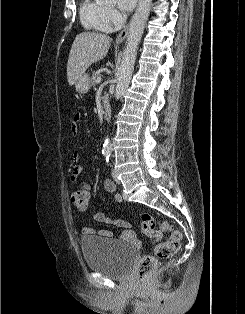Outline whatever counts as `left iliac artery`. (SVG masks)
Wrapping results in <instances>:
<instances>
[{"mask_svg": "<svg viewBox=\"0 0 245 314\" xmlns=\"http://www.w3.org/2000/svg\"><path fill=\"white\" fill-rule=\"evenodd\" d=\"M106 162H107V163L109 162V156H108V157H106Z\"/></svg>", "mask_w": 245, "mask_h": 314, "instance_id": "44dca946", "label": "left iliac artery"}]
</instances>
